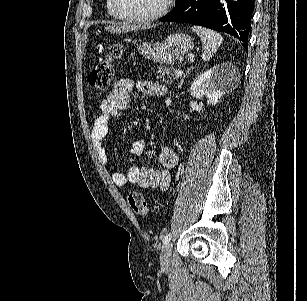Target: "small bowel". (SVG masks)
Masks as SVG:
<instances>
[{
  "label": "small bowel",
  "instance_id": "small-bowel-1",
  "mask_svg": "<svg viewBox=\"0 0 307 301\" xmlns=\"http://www.w3.org/2000/svg\"><path fill=\"white\" fill-rule=\"evenodd\" d=\"M134 86H136L139 92L150 97L158 96L165 92L163 86L148 80H140L134 84L129 79H121L115 84L113 91L101 102L100 114L95 119L91 131L93 146L104 164L107 163L108 156L102 141L108 133L109 123L112 118L128 110L130 106L129 93ZM145 148L146 143L144 140H137L132 144L129 150L131 158L127 174L115 173L112 176V180L116 186L123 188L133 183L142 188L157 189L161 191L169 187L170 170L173 169L178 162L175 150L169 145L161 147L159 151L161 168L151 169L139 167L134 163V158L142 155Z\"/></svg>",
  "mask_w": 307,
  "mask_h": 301
}]
</instances>
